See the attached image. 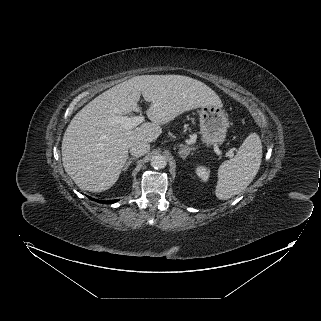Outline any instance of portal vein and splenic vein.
<instances>
[{
    "label": "portal vein and splenic vein",
    "mask_w": 321,
    "mask_h": 321,
    "mask_svg": "<svg viewBox=\"0 0 321 321\" xmlns=\"http://www.w3.org/2000/svg\"><path fill=\"white\" fill-rule=\"evenodd\" d=\"M111 123L121 125L125 130H131L144 121V116L127 117L113 116L110 119Z\"/></svg>",
    "instance_id": "1"
}]
</instances>
